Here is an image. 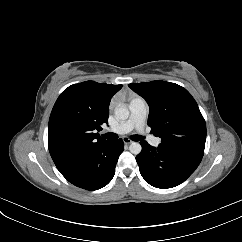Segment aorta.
<instances>
[{
  "label": "aorta",
  "mask_w": 242,
  "mask_h": 242,
  "mask_svg": "<svg viewBox=\"0 0 242 242\" xmlns=\"http://www.w3.org/2000/svg\"><path fill=\"white\" fill-rule=\"evenodd\" d=\"M115 116L120 119V120H126L129 117V109L125 106H117L114 110ZM129 150L132 154L138 155L142 147L140 143L138 142H132L131 145L129 146Z\"/></svg>",
  "instance_id": "obj_1"
}]
</instances>
